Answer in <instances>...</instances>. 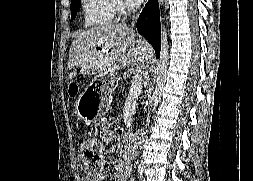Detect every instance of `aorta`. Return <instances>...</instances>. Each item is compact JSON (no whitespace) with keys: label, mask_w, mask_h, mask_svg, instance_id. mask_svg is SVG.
<instances>
[{"label":"aorta","mask_w":253,"mask_h":181,"mask_svg":"<svg viewBox=\"0 0 253 181\" xmlns=\"http://www.w3.org/2000/svg\"><path fill=\"white\" fill-rule=\"evenodd\" d=\"M161 1V0H160ZM167 30L164 24V18L161 16V50L156 67V87L154 91V105L156 106L162 95L163 87L167 78V68L169 63ZM153 117L152 115L150 116ZM146 128H151V123H146Z\"/></svg>","instance_id":"aorta-1"}]
</instances>
